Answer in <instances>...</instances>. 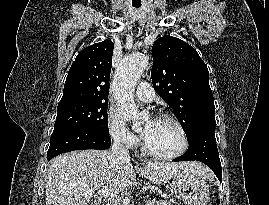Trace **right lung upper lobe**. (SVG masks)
<instances>
[{"label":"right lung upper lobe","instance_id":"1","mask_svg":"<svg viewBox=\"0 0 269 205\" xmlns=\"http://www.w3.org/2000/svg\"><path fill=\"white\" fill-rule=\"evenodd\" d=\"M113 42L105 40L83 49L69 69L58 106L108 102Z\"/></svg>","mask_w":269,"mask_h":205}]
</instances>
